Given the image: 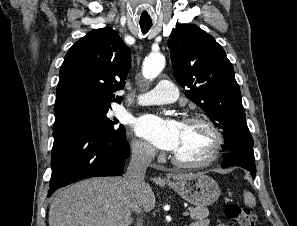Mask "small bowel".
Segmentation results:
<instances>
[{
  "instance_id": "1",
  "label": "small bowel",
  "mask_w": 297,
  "mask_h": 226,
  "mask_svg": "<svg viewBox=\"0 0 297 226\" xmlns=\"http://www.w3.org/2000/svg\"><path fill=\"white\" fill-rule=\"evenodd\" d=\"M208 224H209L208 220H200V221L193 223L191 226H208ZM217 226H229V225L219 224Z\"/></svg>"
}]
</instances>
